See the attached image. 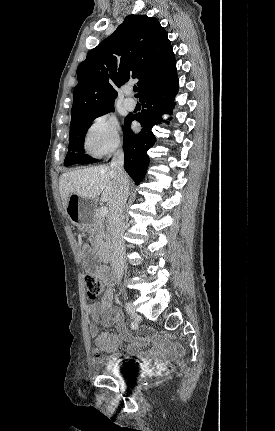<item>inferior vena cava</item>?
<instances>
[{
    "label": "inferior vena cava",
    "instance_id": "inferior-vena-cava-1",
    "mask_svg": "<svg viewBox=\"0 0 275 431\" xmlns=\"http://www.w3.org/2000/svg\"><path fill=\"white\" fill-rule=\"evenodd\" d=\"M124 153L119 149L114 153L111 161V170L116 182V189L109 206V230L112 240L111 267L118 280L122 278L124 269L125 244L123 233L125 224L123 221V209L129 192V178L123 168Z\"/></svg>",
    "mask_w": 275,
    "mask_h": 431
}]
</instances>
